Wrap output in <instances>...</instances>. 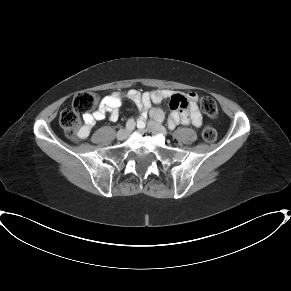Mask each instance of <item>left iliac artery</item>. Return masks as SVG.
Here are the masks:
<instances>
[{"mask_svg":"<svg viewBox=\"0 0 291 291\" xmlns=\"http://www.w3.org/2000/svg\"><path fill=\"white\" fill-rule=\"evenodd\" d=\"M157 120L160 122L163 120L162 114H157Z\"/></svg>","mask_w":291,"mask_h":291,"instance_id":"1","label":"left iliac artery"}]
</instances>
